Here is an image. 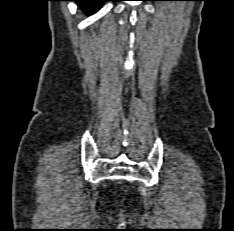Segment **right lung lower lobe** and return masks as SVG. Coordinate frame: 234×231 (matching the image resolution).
<instances>
[{
    "label": "right lung lower lobe",
    "mask_w": 234,
    "mask_h": 231,
    "mask_svg": "<svg viewBox=\"0 0 234 231\" xmlns=\"http://www.w3.org/2000/svg\"><path fill=\"white\" fill-rule=\"evenodd\" d=\"M76 1L80 7L85 9L88 14L94 13L104 1L107 0H73Z\"/></svg>",
    "instance_id": "98d812e1"
}]
</instances>
